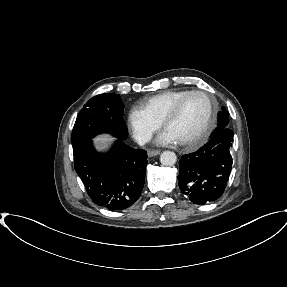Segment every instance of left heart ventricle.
<instances>
[{"label":"left heart ventricle","instance_id":"1","mask_svg":"<svg viewBox=\"0 0 287 287\" xmlns=\"http://www.w3.org/2000/svg\"><path fill=\"white\" fill-rule=\"evenodd\" d=\"M209 116V103L201 95L190 97L182 106L175 119L170 121L165 130L178 143L197 137L205 128Z\"/></svg>","mask_w":287,"mask_h":287}]
</instances>
